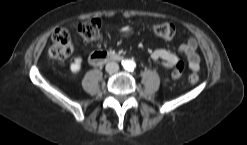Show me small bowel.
<instances>
[{
	"label": "small bowel",
	"mask_w": 247,
	"mask_h": 145,
	"mask_svg": "<svg viewBox=\"0 0 247 145\" xmlns=\"http://www.w3.org/2000/svg\"><path fill=\"white\" fill-rule=\"evenodd\" d=\"M178 52L186 56L189 69L193 73L198 72L200 57L197 53V41L194 38H190L178 47ZM151 58L154 61H162L164 66L168 68L173 67L179 61V57L175 53L165 49L154 50L151 53Z\"/></svg>",
	"instance_id": "c3829d8e"
}]
</instances>
